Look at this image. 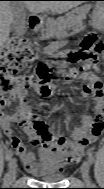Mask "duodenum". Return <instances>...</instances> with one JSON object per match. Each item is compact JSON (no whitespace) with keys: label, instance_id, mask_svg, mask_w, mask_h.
Listing matches in <instances>:
<instances>
[{"label":"duodenum","instance_id":"1","mask_svg":"<svg viewBox=\"0 0 104 189\" xmlns=\"http://www.w3.org/2000/svg\"><path fill=\"white\" fill-rule=\"evenodd\" d=\"M29 27L33 32H39L43 26V21L32 16L28 20Z\"/></svg>","mask_w":104,"mask_h":189}]
</instances>
